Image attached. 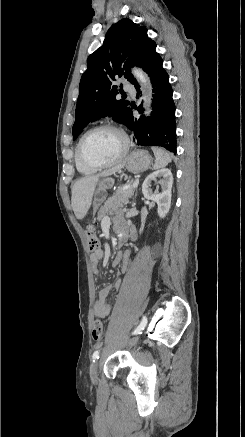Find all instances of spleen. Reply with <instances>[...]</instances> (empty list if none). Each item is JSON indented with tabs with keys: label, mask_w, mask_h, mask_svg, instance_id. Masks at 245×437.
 Returning a JSON list of instances; mask_svg holds the SVG:
<instances>
[{
	"label": "spleen",
	"mask_w": 245,
	"mask_h": 437,
	"mask_svg": "<svg viewBox=\"0 0 245 437\" xmlns=\"http://www.w3.org/2000/svg\"><path fill=\"white\" fill-rule=\"evenodd\" d=\"M152 151L155 156L153 169L164 168L165 166H167L168 163L172 161L171 155L163 148L152 147Z\"/></svg>",
	"instance_id": "obj_1"
}]
</instances>
